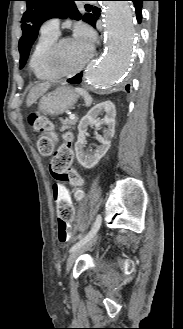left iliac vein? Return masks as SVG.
<instances>
[{"mask_svg":"<svg viewBox=\"0 0 183 329\" xmlns=\"http://www.w3.org/2000/svg\"><path fill=\"white\" fill-rule=\"evenodd\" d=\"M98 234L96 233L92 238H90L85 244L81 245L77 249H75L70 256L68 257L67 260V265H66V273H68L73 266L75 260L79 255H81L83 252L87 251L89 248H91L97 240Z\"/></svg>","mask_w":183,"mask_h":329,"instance_id":"4c4485c4","label":"left iliac vein"}]
</instances>
